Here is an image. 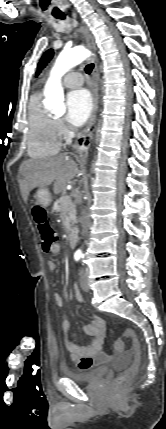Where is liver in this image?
<instances>
[{"label":"liver","instance_id":"obj_1","mask_svg":"<svg viewBox=\"0 0 166 429\" xmlns=\"http://www.w3.org/2000/svg\"><path fill=\"white\" fill-rule=\"evenodd\" d=\"M78 173L77 163L67 153L45 159H28L19 167V186L24 202L34 188H45L54 182L56 194Z\"/></svg>","mask_w":166,"mask_h":429}]
</instances>
